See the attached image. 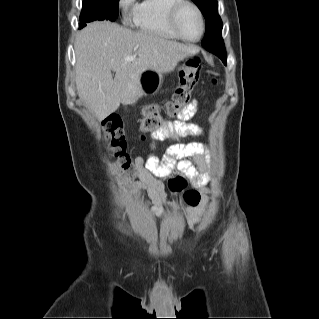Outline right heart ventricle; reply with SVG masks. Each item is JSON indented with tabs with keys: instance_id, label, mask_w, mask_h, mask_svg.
Here are the masks:
<instances>
[{
	"instance_id": "obj_1",
	"label": "right heart ventricle",
	"mask_w": 319,
	"mask_h": 319,
	"mask_svg": "<svg viewBox=\"0 0 319 319\" xmlns=\"http://www.w3.org/2000/svg\"><path fill=\"white\" fill-rule=\"evenodd\" d=\"M177 0H142L132 10V20L140 31L166 39H175L168 26V12Z\"/></svg>"
}]
</instances>
